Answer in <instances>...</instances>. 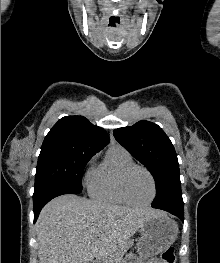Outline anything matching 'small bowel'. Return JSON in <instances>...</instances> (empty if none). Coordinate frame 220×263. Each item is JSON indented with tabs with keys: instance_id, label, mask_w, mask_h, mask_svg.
I'll list each match as a JSON object with an SVG mask.
<instances>
[{
	"instance_id": "small-bowel-1",
	"label": "small bowel",
	"mask_w": 220,
	"mask_h": 263,
	"mask_svg": "<svg viewBox=\"0 0 220 263\" xmlns=\"http://www.w3.org/2000/svg\"><path fill=\"white\" fill-rule=\"evenodd\" d=\"M149 263H161V262L157 259H152Z\"/></svg>"
}]
</instances>
